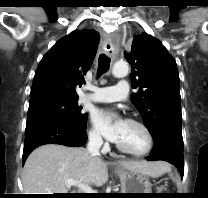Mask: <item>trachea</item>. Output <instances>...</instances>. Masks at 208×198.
<instances>
[{
  "instance_id": "3493384b",
  "label": "trachea",
  "mask_w": 208,
  "mask_h": 198,
  "mask_svg": "<svg viewBox=\"0 0 208 198\" xmlns=\"http://www.w3.org/2000/svg\"><path fill=\"white\" fill-rule=\"evenodd\" d=\"M111 59L105 54H101L98 60V75H102L109 69Z\"/></svg>"
}]
</instances>
